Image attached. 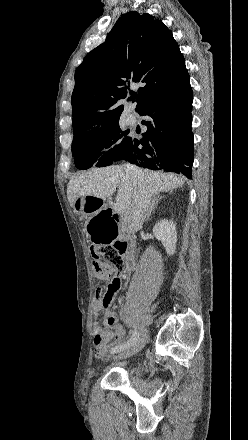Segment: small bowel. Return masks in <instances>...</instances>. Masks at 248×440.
Masks as SVG:
<instances>
[{
	"label": "small bowel",
	"mask_w": 248,
	"mask_h": 440,
	"mask_svg": "<svg viewBox=\"0 0 248 440\" xmlns=\"http://www.w3.org/2000/svg\"><path fill=\"white\" fill-rule=\"evenodd\" d=\"M116 270L117 271H114V276H120L122 274L121 272H124V267H118ZM113 280L118 284L113 292L114 297L120 287V278L115 277ZM98 290L105 291L106 289L100 288ZM102 310L105 311V321L108 328L103 329L96 321L93 323L94 351L95 356L99 359L104 358L110 349L121 345L124 338V330L118 323L116 315L109 310V306L104 307L98 300H96L93 306L94 316L97 317Z\"/></svg>",
	"instance_id": "small-bowel-1"
}]
</instances>
